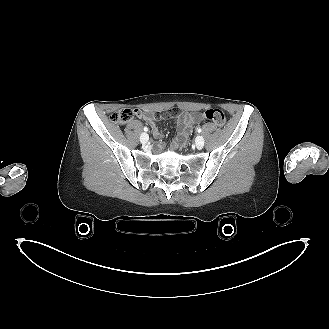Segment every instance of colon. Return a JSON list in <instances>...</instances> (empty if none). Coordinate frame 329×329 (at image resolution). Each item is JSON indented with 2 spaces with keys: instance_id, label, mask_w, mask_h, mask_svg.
<instances>
[{
  "instance_id": "5ec220e1",
  "label": "colon",
  "mask_w": 329,
  "mask_h": 329,
  "mask_svg": "<svg viewBox=\"0 0 329 329\" xmlns=\"http://www.w3.org/2000/svg\"><path fill=\"white\" fill-rule=\"evenodd\" d=\"M141 113L140 110L132 109H121L112 113L109 116V120L113 124H125L132 120L135 114ZM204 118L215 122L219 126H224L226 124V117L224 113L219 109H208L203 113Z\"/></svg>"
}]
</instances>
